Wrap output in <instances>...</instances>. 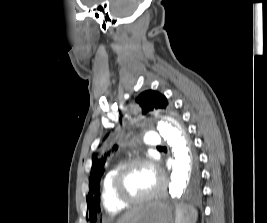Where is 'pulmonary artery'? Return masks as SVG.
<instances>
[{"label": "pulmonary artery", "mask_w": 267, "mask_h": 223, "mask_svg": "<svg viewBox=\"0 0 267 223\" xmlns=\"http://www.w3.org/2000/svg\"><path fill=\"white\" fill-rule=\"evenodd\" d=\"M145 144L148 146L156 147L161 144V140L158 135L156 134H147L145 136Z\"/></svg>", "instance_id": "1"}]
</instances>
